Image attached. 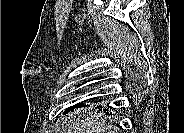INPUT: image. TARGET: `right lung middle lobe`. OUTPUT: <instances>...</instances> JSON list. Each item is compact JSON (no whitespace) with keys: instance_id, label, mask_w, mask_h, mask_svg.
<instances>
[{"instance_id":"1","label":"right lung middle lobe","mask_w":184,"mask_h":133,"mask_svg":"<svg viewBox=\"0 0 184 133\" xmlns=\"http://www.w3.org/2000/svg\"><path fill=\"white\" fill-rule=\"evenodd\" d=\"M85 105H83L82 103H78V104H75L74 106H71L70 108H68L66 111H69V110H73V108H78V107H84ZM102 107V106H101Z\"/></svg>"}]
</instances>
